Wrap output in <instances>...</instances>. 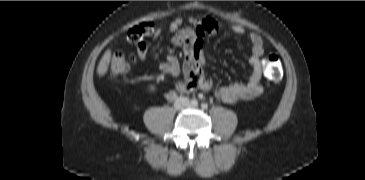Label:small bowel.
<instances>
[{
    "instance_id": "small-bowel-1",
    "label": "small bowel",
    "mask_w": 365,
    "mask_h": 180,
    "mask_svg": "<svg viewBox=\"0 0 365 180\" xmlns=\"http://www.w3.org/2000/svg\"><path fill=\"white\" fill-rule=\"evenodd\" d=\"M188 26H184L185 21L180 17L174 18L168 24V32L172 33V43L179 47L184 54V63L181 67L178 59L173 55H168L164 61L158 64L160 71L179 77L183 75L185 83L179 85V89L184 92L196 90L208 91L213 88L212 79L204 74L205 55L203 51V40L207 36L216 35L224 30V27L211 18L190 17L187 19ZM231 29L240 35H246V31L240 26H232ZM162 33L158 28L153 33V41L156 42ZM251 52L248 62L253 68V72L245 82H235L225 84L215 90V96L227 103L251 100L263 93L262 62L264 53V40L257 33L247 34ZM139 58L148 61V48L145 44H140L137 48ZM176 96L175 91L167 94V99L172 100Z\"/></svg>"
}]
</instances>
